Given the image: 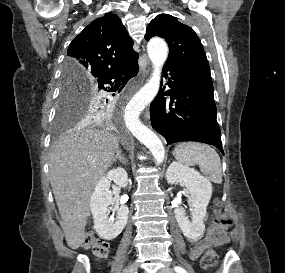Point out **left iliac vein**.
<instances>
[{"mask_svg": "<svg viewBox=\"0 0 285 273\" xmlns=\"http://www.w3.org/2000/svg\"><path fill=\"white\" fill-rule=\"evenodd\" d=\"M159 273H174V271L170 267H164L160 269Z\"/></svg>", "mask_w": 285, "mask_h": 273, "instance_id": "obj_1", "label": "left iliac vein"}]
</instances>
